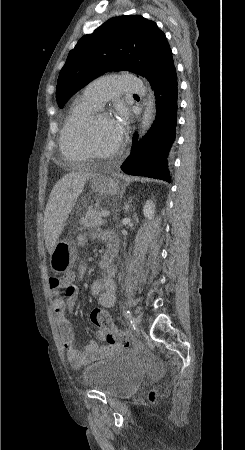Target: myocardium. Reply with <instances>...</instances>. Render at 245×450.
Wrapping results in <instances>:
<instances>
[{
	"instance_id": "myocardium-1",
	"label": "myocardium",
	"mask_w": 245,
	"mask_h": 450,
	"mask_svg": "<svg viewBox=\"0 0 245 450\" xmlns=\"http://www.w3.org/2000/svg\"><path fill=\"white\" fill-rule=\"evenodd\" d=\"M102 116L107 117L105 114H102ZM94 117L95 116H90L85 128V145L89 153V158L104 159L120 156L123 152L122 144L115 151L108 153L102 152L97 148L93 135Z\"/></svg>"
}]
</instances>
